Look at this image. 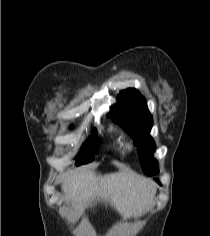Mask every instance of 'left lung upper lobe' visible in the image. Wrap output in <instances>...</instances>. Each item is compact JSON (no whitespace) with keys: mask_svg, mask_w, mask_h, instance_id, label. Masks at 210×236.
Masks as SVG:
<instances>
[{"mask_svg":"<svg viewBox=\"0 0 210 236\" xmlns=\"http://www.w3.org/2000/svg\"><path fill=\"white\" fill-rule=\"evenodd\" d=\"M117 101L108 117L120 124L133 137L134 143L138 146L144 172L148 175L157 174L158 162L153 157L155 143L149 134L153 119L146 100L136 89L129 88L119 93Z\"/></svg>","mask_w":210,"mask_h":236,"instance_id":"left-lung-upper-lobe-1","label":"left lung upper lobe"}]
</instances>
